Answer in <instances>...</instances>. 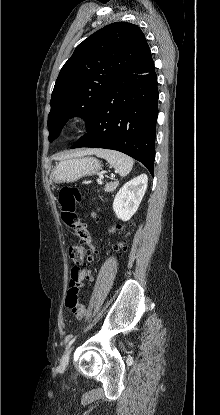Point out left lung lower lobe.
Here are the masks:
<instances>
[{"label": "left lung lower lobe", "instance_id": "obj_1", "mask_svg": "<svg viewBox=\"0 0 220 415\" xmlns=\"http://www.w3.org/2000/svg\"><path fill=\"white\" fill-rule=\"evenodd\" d=\"M158 116L157 76L153 59L137 72L118 77L71 148L92 147L123 152L153 175Z\"/></svg>", "mask_w": 220, "mask_h": 415}]
</instances>
